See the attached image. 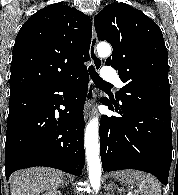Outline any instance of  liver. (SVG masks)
<instances>
[{
    "label": "liver",
    "mask_w": 178,
    "mask_h": 195,
    "mask_svg": "<svg viewBox=\"0 0 178 195\" xmlns=\"http://www.w3.org/2000/svg\"><path fill=\"white\" fill-rule=\"evenodd\" d=\"M64 182V174L51 168H29L19 170L11 176V195H40L55 190Z\"/></svg>",
    "instance_id": "obj_1"
}]
</instances>
